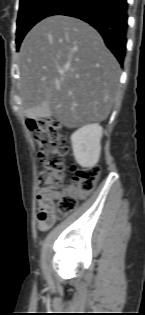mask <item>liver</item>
<instances>
[{
	"instance_id": "obj_1",
	"label": "liver",
	"mask_w": 145,
	"mask_h": 315,
	"mask_svg": "<svg viewBox=\"0 0 145 315\" xmlns=\"http://www.w3.org/2000/svg\"><path fill=\"white\" fill-rule=\"evenodd\" d=\"M18 65L27 117L53 116L68 128L108 117L120 66L84 21L63 15L43 19L22 42Z\"/></svg>"
}]
</instances>
